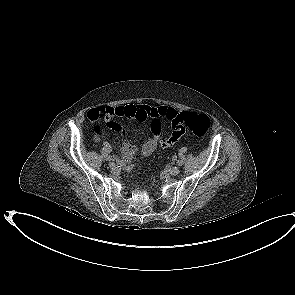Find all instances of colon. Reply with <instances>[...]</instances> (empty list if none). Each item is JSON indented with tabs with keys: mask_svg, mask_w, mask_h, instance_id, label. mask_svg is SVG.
Instances as JSON below:
<instances>
[{
	"mask_svg": "<svg viewBox=\"0 0 295 295\" xmlns=\"http://www.w3.org/2000/svg\"><path fill=\"white\" fill-rule=\"evenodd\" d=\"M178 132L181 134L185 128L190 129L197 136H204L210 128V118L206 114L194 112L180 113L176 118ZM158 143L154 138H149L140 148L144 157H150L156 150Z\"/></svg>",
	"mask_w": 295,
	"mask_h": 295,
	"instance_id": "1",
	"label": "colon"
}]
</instances>
